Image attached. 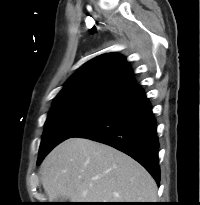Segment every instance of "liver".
Masks as SVG:
<instances>
[{
    "label": "liver",
    "mask_w": 200,
    "mask_h": 205,
    "mask_svg": "<svg viewBox=\"0 0 200 205\" xmlns=\"http://www.w3.org/2000/svg\"><path fill=\"white\" fill-rule=\"evenodd\" d=\"M49 200L71 202H155L151 175L126 154L102 143L70 138L56 146L41 165Z\"/></svg>",
    "instance_id": "1"
}]
</instances>
